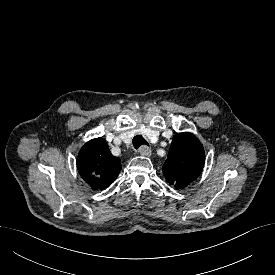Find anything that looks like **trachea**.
I'll return each instance as SVG.
<instances>
[{
  "mask_svg": "<svg viewBox=\"0 0 275 275\" xmlns=\"http://www.w3.org/2000/svg\"><path fill=\"white\" fill-rule=\"evenodd\" d=\"M132 143L135 149H138L142 145H148L147 141L141 135L135 136Z\"/></svg>",
  "mask_w": 275,
  "mask_h": 275,
  "instance_id": "1",
  "label": "trachea"
}]
</instances>
